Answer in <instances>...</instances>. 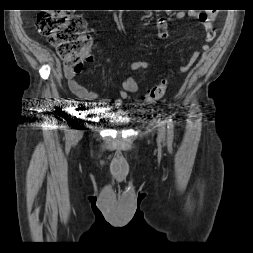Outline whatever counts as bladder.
<instances>
[{"label": "bladder", "instance_id": "bladder-1", "mask_svg": "<svg viewBox=\"0 0 253 253\" xmlns=\"http://www.w3.org/2000/svg\"><path fill=\"white\" fill-rule=\"evenodd\" d=\"M108 119L115 123V124H119V125H125L129 123V120L124 116V112L123 111H112L109 112V116Z\"/></svg>", "mask_w": 253, "mask_h": 253}]
</instances>
